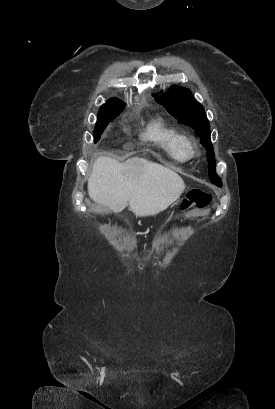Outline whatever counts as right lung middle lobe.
I'll return each mask as SVG.
<instances>
[{
  "label": "right lung middle lobe",
  "mask_w": 275,
  "mask_h": 409,
  "mask_svg": "<svg viewBox=\"0 0 275 409\" xmlns=\"http://www.w3.org/2000/svg\"><path fill=\"white\" fill-rule=\"evenodd\" d=\"M122 110L117 111H108V112H99L98 113V120L94 130V142L96 143L109 122H111Z\"/></svg>",
  "instance_id": "right-lung-middle-lobe-1"
}]
</instances>
